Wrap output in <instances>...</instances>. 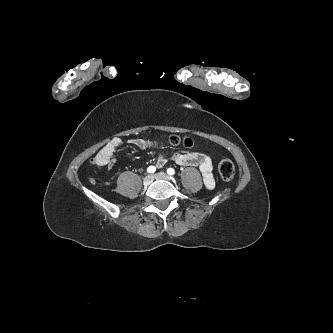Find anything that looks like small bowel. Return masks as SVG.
Here are the masks:
<instances>
[{"mask_svg":"<svg viewBox=\"0 0 333 333\" xmlns=\"http://www.w3.org/2000/svg\"><path fill=\"white\" fill-rule=\"evenodd\" d=\"M130 145L140 149H145L156 144L154 141L146 140L143 138H132L128 140ZM122 144L119 137H114L107 145H105L93 159V164L99 166H112L114 160L112 159L114 151ZM176 164L182 166H195L199 167L204 185L207 189H213L215 180L213 176V163L209 156L200 152H178L170 157ZM168 161V157L160 155L157 158V166L163 167Z\"/></svg>","mask_w":333,"mask_h":333,"instance_id":"1","label":"small bowel"}]
</instances>
